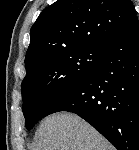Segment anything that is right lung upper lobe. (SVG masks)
Instances as JSON below:
<instances>
[{
    "mask_svg": "<svg viewBox=\"0 0 139 150\" xmlns=\"http://www.w3.org/2000/svg\"><path fill=\"white\" fill-rule=\"evenodd\" d=\"M135 16L131 0H57L31 28L26 75L55 55L106 47Z\"/></svg>",
    "mask_w": 139,
    "mask_h": 150,
    "instance_id": "cb5924a9",
    "label": "right lung upper lobe"
}]
</instances>
